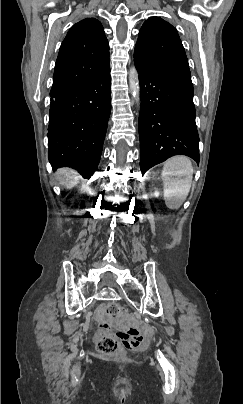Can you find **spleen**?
<instances>
[{
  "instance_id": "3e777b00",
  "label": "spleen",
  "mask_w": 243,
  "mask_h": 404,
  "mask_svg": "<svg viewBox=\"0 0 243 404\" xmlns=\"http://www.w3.org/2000/svg\"><path fill=\"white\" fill-rule=\"evenodd\" d=\"M193 168L187 156H174L162 170L164 198L168 208H177L178 200L187 198L192 184ZM175 200V204H171Z\"/></svg>"
}]
</instances>
